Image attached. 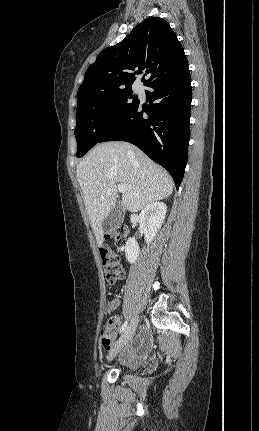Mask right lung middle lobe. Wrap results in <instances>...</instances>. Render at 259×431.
Listing matches in <instances>:
<instances>
[{
    "instance_id": "obj_1",
    "label": "right lung middle lobe",
    "mask_w": 259,
    "mask_h": 431,
    "mask_svg": "<svg viewBox=\"0 0 259 431\" xmlns=\"http://www.w3.org/2000/svg\"><path fill=\"white\" fill-rule=\"evenodd\" d=\"M138 104L139 100L132 95L131 88L93 95L79 103L75 128L76 156H84L95 144L101 142Z\"/></svg>"
}]
</instances>
